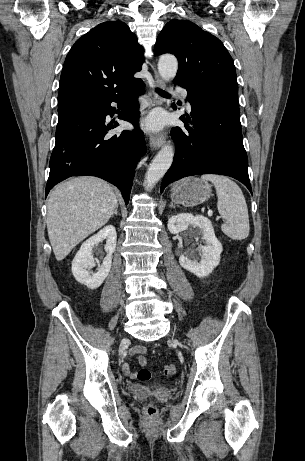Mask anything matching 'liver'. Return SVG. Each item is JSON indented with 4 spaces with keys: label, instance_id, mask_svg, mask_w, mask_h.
<instances>
[{
    "label": "liver",
    "instance_id": "obj_1",
    "mask_svg": "<svg viewBox=\"0 0 305 461\" xmlns=\"http://www.w3.org/2000/svg\"><path fill=\"white\" fill-rule=\"evenodd\" d=\"M112 187L95 177L72 178L59 184L48 200V236L57 261L87 236L104 226L114 213Z\"/></svg>",
    "mask_w": 305,
    "mask_h": 461
}]
</instances>
